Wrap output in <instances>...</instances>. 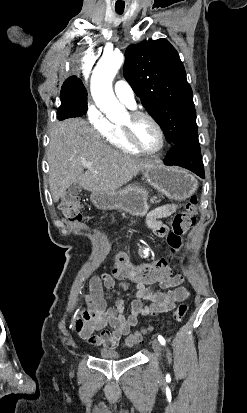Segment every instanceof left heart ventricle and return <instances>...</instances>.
<instances>
[{
    "label": "left heart ventricle",
    "instance_id": "1",
    "mask_svg": "<svg viewBox=\"0 0 247 413\" xmlns=\"http://www.w3.org/2000/svg\"><path fill=\"white\" fill-rule=\"evenodd\" d=\"M140 144L148 150H155L161 145L159 131L146 119H141L135 127Z\"/></svg>",
    "mask_w": 247,
    "mask_h": 413
}]
</instances>
